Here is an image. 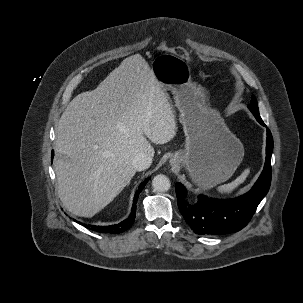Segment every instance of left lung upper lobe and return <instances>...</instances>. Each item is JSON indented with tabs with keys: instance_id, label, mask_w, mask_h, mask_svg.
Returning a JSON list of instances; mask_svg holds the SVG:
<instances>
[{
	"instance_id": "5c2ea615",
	"label": "left lung upper lobe",
	"mask_w": 303,
	"mask_h": 303,
	"mask_svg": "<svg viewBox=\"0 0 303 303\" xmlns=\"http://www.w3.org/2000/svg\"><path fill=\"white\" fill-rule=\"evenodd\" d=\"M249 109L253 113L254 116L260 117L258 106H257V100L254 96H252V100H251V103L249 105Z\"/></svg>"
}]
</instances>
